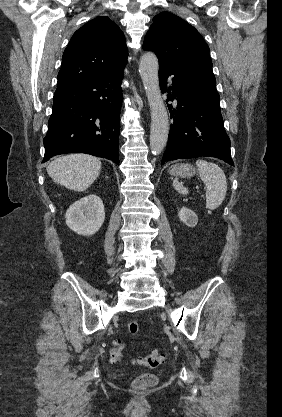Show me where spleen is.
I'll return each mask as SVG.
<instances>
[{
  "label": "spleen",
  "mask_w": 282,
  "mask_h": 417,
  "mask_svg": "<svg viewBox=\"0 0 282 417\" xmlns=\"http://www.w3.org/2000/svg\"><path fill=\"white\" fill-rule=\"evenodd\" d=\"M199 174L205 184L206 188V209H217V206L222 204L227 192L226 176L215 162H207L198 158L196 160ZM173 186L180 194H188V188L179 182L178 178H174Z\"/></svg>",
  "instance_id": "3e777b00"
}]
</instances>
